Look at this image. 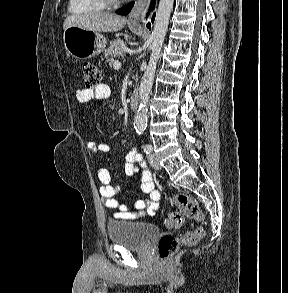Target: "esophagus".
I'll list each match as a JSON object with an SVG mask.
<instances>
[{
	"label": "esophagus",
	"mask_w": 288,
	"mask_h": 293,
	"mask_svg": "<svg viewBox=\"0 0 288 293\" xmlns=\"http://www.w3.org/2000/svg\"><path fill=\"white\" fill-rule=\"evenodd\" d=\"M149 0H136L135 6L129 14L128 21L134 25L141 24L142 14L147 7Z\"/></svg>",
	"instance_id": "34e87169"
}]
</instances>
